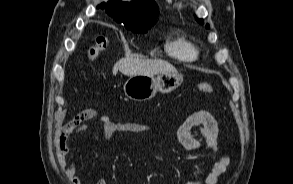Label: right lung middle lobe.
Returning <instances> with one entry per match:
<instances>
[{
  "label": "right lung middle lobe",
  "mask_w": 293,
  "mask_h": 184,
  "mask_svg": "<svg viewBox=\"0 0 293 184\" xmlns=\"http://www.w3.org/2000/svg\"><path fill=\"white\" fill-rule=\"evenodd\" d=\"M152 25H142V24H132V25H126V29L131 30L135 33H146L148 29Z\"/></svg>",
  "instance_id": "dd1d6c3e"
}]
</instances>
